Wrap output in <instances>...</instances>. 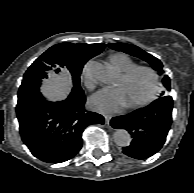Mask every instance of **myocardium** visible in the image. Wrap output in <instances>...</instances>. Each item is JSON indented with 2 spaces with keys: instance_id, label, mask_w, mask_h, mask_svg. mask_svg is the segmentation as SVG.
Wrapping results in <instances>:
<instances>
[{
  "instance_id": "myocardium-1",
  "label": "myocardium",
  "mask_w": 194,
  "mask_h": 193,
  "mask_svg": "<svg viewBox=\"0 0 194 193\" xmlns=\"http://www.w3.org/2000/svg\"><path fill=\"white\" fill-rule=\"evenodd\" d=\"M139 71H145V72L150 74V76L152 78V87H151L150 92L148 93V95L145 98H143L142 100H140L138 102H135L133 104L126 105V107L128 109H137V108H140L142 106H145V105L149 104L156 97V95L159 91V86H160L159 76H158L157 72L155 71V69H153L150 66L135 65L131 69H129L126 72L122 73L121 78L123 80H127Z\"/></svg>"
}]
</instances>
